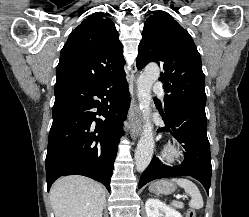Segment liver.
I'll return each mask as SVG.
<instances>
[{
  "label": "liver",
  "instance_id": "liver-1",
  "mask_svg": "<svg viewBox=\"0 0 249 217\" xmlns=\"http://www.w3.org/2000/svg\"><path fill=\"white\" fill-rule=\"evenodd\" d=\"M50 199L55 217H102L106 202L99 183L77 175L58 179Z\"/></svg>",
  "mask_w": 249,
  "mask_h": 217
}]
</instances>
